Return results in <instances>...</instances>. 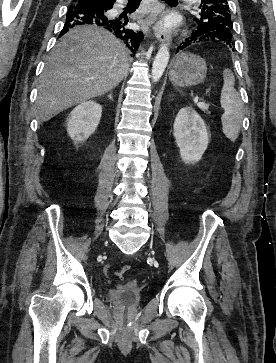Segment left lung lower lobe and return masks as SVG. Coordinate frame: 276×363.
I'll list each match as a JSON object with an SVG mask.
<instances>
[{"instance_id": "obj_1", "label": "left lung lower lobe", "mask_w": 276, "mask_h": 363, "mask_svg": "<svg viewBox=\"0 0 276 363\" xmlns=\"http://www.w3.org/2000/svg\"><path fill=\"white\" fill-rule=\"evenodd\" d=\"M209 39H211V36L204 33L202 29H194L190 37L186 38L185 41H183L181 45L177 47V51L182 50L194 43L203 42Z\"/></svg>"}]
</instances>
